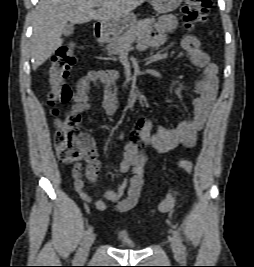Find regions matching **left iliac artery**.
I'll use <instances>...</instances> for the list:
<instances>
[{"label":"left iliac artery","mask_w":254,"mask_h":267,"mask_svg":"<svg viewBox=\"0 0 254 267\" xmlns=\"http://www.w3.org/2000/svg\"><path fill=\"white\" fill-rule=\"evenodd\" d=\"M173 236H174V239L178 245V248H179V251L180 253L185 257V247L182 243V240L181 238L179 237L178 233L176 231H173Z\"/></svg>","instance_id":"44dca946"}]
</instances>
